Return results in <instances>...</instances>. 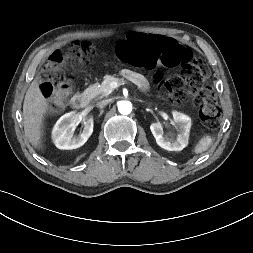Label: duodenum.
Masks as SVG:
<instances>
[{"mask_svg": "<svg viewBox=\"0 0 253 253\" xmlns=\"http://www.w3.org/2000/svg\"><path fill=\"white\" fill-rule=\"evenodd\" d=\"M91 100V95L89 93H80L74 95L71 100L72 107L75 109L85 108Z\"/></svg>", "mask_w": 253, "mask_h": 253, "instance_id": "410a0bca", "label": "duodenum"}]
</instances>
